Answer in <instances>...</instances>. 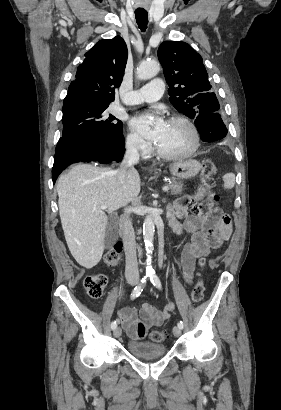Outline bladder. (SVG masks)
<instances>
[{
    "label": "bladder",
    "instance_id": "1",
    "mask_svg": "<svg viewBox=\"0 0 281 410\" xmlns=\"http://www.w3.org/2000/svg\"><path fill=\"white\" fill-rule=\"evenodd\" d=\"M127 349L131 355L141 358L160 357L167 352L165 345L139 340H130L127 344Z\"/></svg>",
    "mask_w": 281,
    "mask_h": 410
}]
</instances>
